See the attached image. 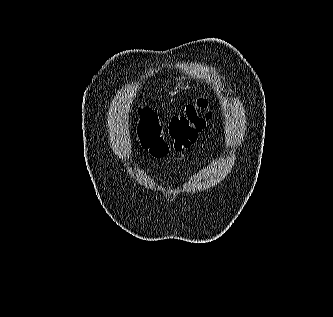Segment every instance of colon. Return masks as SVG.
Segmentation results:
<instances>
[{
    "instance_id": "colon-1",
    "label": "colon",
    "mask_w": 333,
    "mask_h": 317,
    "mask_svg": "<svg viewBox=\"0 0 333 317\" xmlns=\"http://www.w3.org/2000/svg\"><path fill=\"white\" fill-rule=\"evenodd\" d=\"M138 135L142 147L156 157L165 156L170 148L190 147L211 118L208 101L199 98L188 104L181 114L174 115L164 129L157 114L150 108H140Z\"/></svg>"
}]
</instances>
